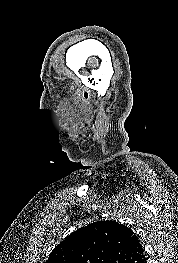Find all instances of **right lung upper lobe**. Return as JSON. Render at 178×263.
I'll list each match as a JSON object with an SVG mask.
<instances>
[{"instance_id":"right-lung-upper-lobe-1","label":"right lung upper lobe","mask_w":178,"mask_h":263,"mask_svg":"<svg viewBox=\"0 0 178 263\" xmlns=\"http://www.w3.org/2000/svg\"><path fill=\"white\" fill-rule=\"evenodd\" d=\"M137 235L119 222L97 221L68 235L45 263H146Z\"/></svg>"}]
</instances>
